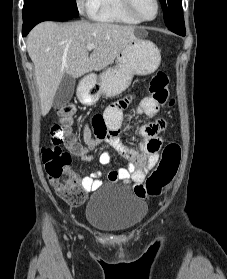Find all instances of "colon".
<instances>
[{
	"mask_svg": "<svg viewBox=\"0 0 227 279\" xmlns=\"http://www.w3.org/2000/svg\"><path fill=\"white\" fill-rule=\"evenodd\" d=\"M168 77L164 72H157L149 81L148 87L152 93L153 100L160 105L173 106L175 100L170 97L168 89ZM75 107L68 104L59 109L57 119L51 129V144L42 149V163L51 181H55L54 187L58 195L68 204L76 205L81 199L78 194L79 182L73 172L68 168L71 163V155L61 149V144L66 142L74 151L81 152L75 144L73 137L63 133L62 125L72 118ZM93 130L101 134L108 130L105 121L100 115H95L92 121ZM149 133L152 130H147ZM156 146L154 144L146 148L147 153H152ZM181 160V148L176 142L168 143L161 159L154 171L146 179L144 188L133 187L134 193L141 198L159 197L163 190L173 181L178 171Z\"/></svg>",
	"mask_w": 227,
	"mask_h": 279,
	"instance_id": "1",
	"label": "colon"
}]
</instances>
